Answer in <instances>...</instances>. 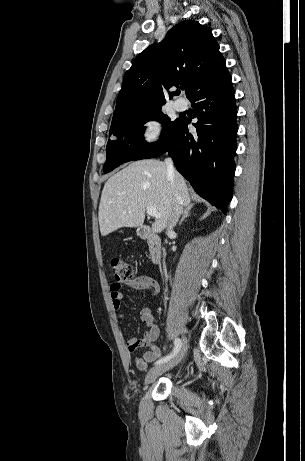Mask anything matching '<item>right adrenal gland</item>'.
Instances as JSON below:
<instances>
[{"label":"right adrenal gland","mask_w":305,"mask_h":461,"mask_svg":"<svg viewBox=\"0 0 305 461\" xmlns=\"http://www.w3.org/2000/svg\"><path fill=\"white\" fill-rule=\"evenodd\" d=\"M193 208V204L191 205H188V206H185L184 210L182 211V217L179 221V225L182 224V222L187 218V217H190L191 214H190V211L191 209Z\"/></svg>","instance_id":"1"}]
</instances>
